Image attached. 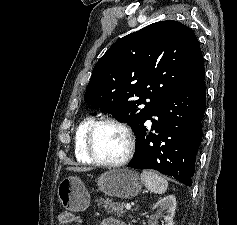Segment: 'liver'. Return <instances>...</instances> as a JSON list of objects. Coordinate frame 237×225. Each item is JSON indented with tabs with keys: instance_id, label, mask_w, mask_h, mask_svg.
<instances>
[{
	"instance_id": "obj_1",
	"label": "liver",
	"mask_w": 237,
	"mask_h": 225,
	"mask_svg": "<svg viewBox=\"0 0 237 225\" xmlns=\"http://www.w3.org/2000/svg\"><path fill=\"white\" fill-rule=\"evenodd\" d=\"M67 170L74 172H86L89 171L90 168L68 167Z\"/></svg>"
}]
</instances>
